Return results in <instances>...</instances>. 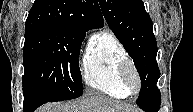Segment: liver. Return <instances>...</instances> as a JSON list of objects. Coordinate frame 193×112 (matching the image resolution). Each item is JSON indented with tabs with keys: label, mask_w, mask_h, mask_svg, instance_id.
Masks as SVG:
<instances>
[{
	"label": "liver",
	"mask_w": 193,
	"mask_h": 112,
	"mask_svg": "<svg viewBox=\"0 0 193 112\" xmlns=\"http://www.w3.org/2000/svg\"><path fill=\"white\" fill-rule=\"evenodd\" d=\"M133 107L108 97L91 96L61 104H45L37 112H132Z\"/></svg>",
	"instance_id": "liver-1"
}]
</instances>
